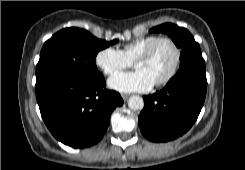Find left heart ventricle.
<instances>
[{
	"mask_svg": "<svg viewBox=\"0 0 245 170\" xmlns=\"http://www.w3.org/2000/svg\"><path fill=\"white\" fill-rule=\"evenodd\" d=\"M174 59L172 46L168 42H160L147 59L138 61L135 66L143 70L153 82H157L169 73Z\"/></svg>",
	"mask_w": 245,
	"mask_h": 170,
	"instance_id": "obj_1",
	"label": "left heart ventricle"
}]
</instances>
